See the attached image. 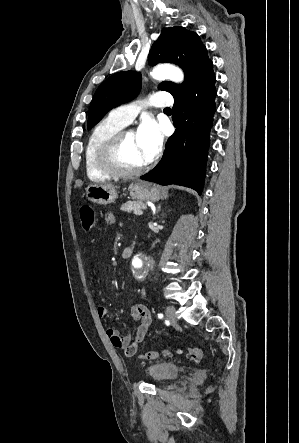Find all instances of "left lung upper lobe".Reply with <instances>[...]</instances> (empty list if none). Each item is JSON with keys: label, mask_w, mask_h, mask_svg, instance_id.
I'll list each match as a JSON object with an SVG mask.
<instances>
[{"label": "left lung upper lobe", "mask_w": 299, "mask_h": 443, "mask_svg": "<svg viewBox=\"0 0 299 443\" xmlns=\"http://www.w3.org/2000/svg\"><path fill=\"white\" fill-rule=\"evenodd\" d=\"M149 63L171 62L179 65L184 73L182 84L164 81L159 89L170 92L173 97L181 93L200 70L211 60L199 36L183 27L165 28L152 45ZM141 87L140 73L118 72L106 79L97 89L92 99L88 116V129H91L110 109L132 100Z\"/></svg>", "instance_id": "left-lung-upper-lobe-1"}]
</instances>
